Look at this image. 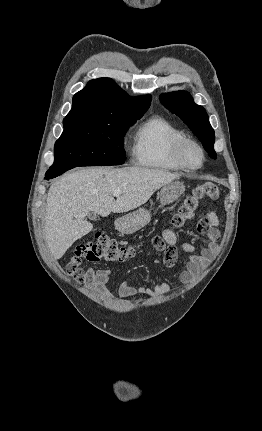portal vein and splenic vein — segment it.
<instances>
[{
  "label": "portal vein and splenic vein",
  "instance_id": "1",
  "mask_svg": "<svg viewBox=\"0 0 262 431\" xmlns=\"http://www.w3.org/2000/svg\"><path fill=\"white\" fill-rule=\"evenodd\" d=\"M121 193H122L121 191L116 190V191L113 192V196L119 197L121 195Z\"/></svg>",
  "mask_w": 262,
  "mask_h": 431
}]
</instances>
